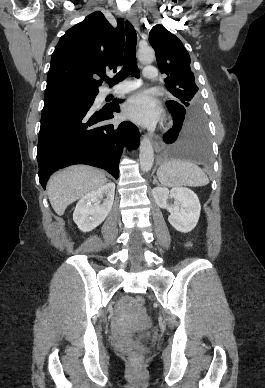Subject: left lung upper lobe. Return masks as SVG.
I'll return each instance as SVG.
<instances>
[{
	"label": "left lung upper lobe",
	"mask_w": 265,
	"mask_h": 388,
	"mask_svg": "<svg viewBox=\"0 0 265 388\" xmlns=\"http://www.w3.org/2000/svg\"><path fill=\"white\" fill-rule=\"evenodd\" d=\"M149 42L156 52L158 68L167 75L166 87L175 99L171 102L187 109L201 110L198 87L190 68V56L182 42L160 24L151 29Z\"/></svg>",
	"instance_id": "5c2ea615"
}]
</instances>
